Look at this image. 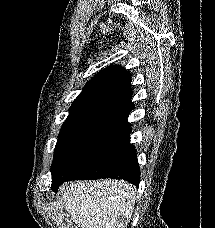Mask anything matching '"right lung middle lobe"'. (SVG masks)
<instances>
[{
    "instance_id": "1",
    "label": "right lung middle lobe",
    "mask_w": 215,
    "mask_h": 228,
    "mask_svg": "<svg viewBox=\"0 0 215 228\" xmlns=\"http://www.w3.org/2000/svg\"><path fill=\"white\" fill-rule=\"evenodd\" d=\"M129 128L128 124L92 121L58 135L52 163V188L71 170Z\"/></svg>"
}]
</instances>
